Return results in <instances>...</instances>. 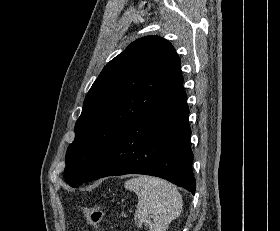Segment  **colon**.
I'll return each instance as SVG.
<instances>
[{"label":"colon","mask_w":280,"mask_h":231,"mask_svg":"<svg viewBox=\"0 0 280 231\" xmlns=\"http://www.w3.org/2000/svg\"><path fill=\"white\" fill-rule=\"evenodd\" d=\"M79 208L85 214L88 222L93 227V229L99 230L104 218V212L101 206L94 204L91 206H79Z\"/></svg>","instance_id":"5ec220e1"}]
</instances>
